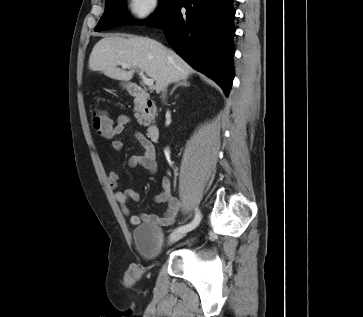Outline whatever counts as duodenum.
Listing matches in <instances>:
<instances>
[{"label":"duodenum","mask_w":363,"mask_h":317,"mask_svg":"<svg viewBox=\"0 0 363 317\" xmlns=\"http://www.w3.org/2000/svg\"><path fill=\"white\" fill-rule=\"evenodd\" d=\"M129 93L132 97L136 98L141 102L146 108L152 107V101L150 99L149 93L142 87L136 84H129ZM149 137L152 141L156 142L160 138V129L157 125L149 124L147 127Z\"/></svg>","instance_id":"obj_1"}]
</instances>
